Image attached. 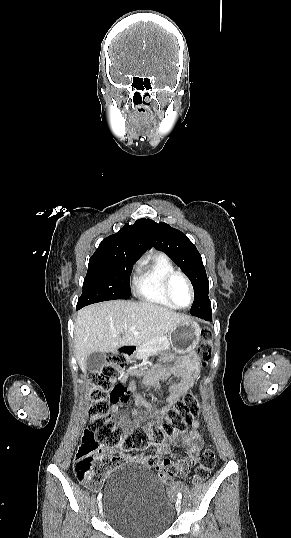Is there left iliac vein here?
Segmentation results:
<instances>
[{"instance_id": "1", "label": "left iliac vein", "mask_w": 291, "mask_h": 538, "mask_svg": "<svg viewBox=\"0 0 291 538\" xmlns=\"http://www.w3.org/2000/svg\"><path fill=\"white\" fill-rule=\"evenodd\" d=\"M176 510H177V512H180V510H181V500H177V502H176Z\"/></svg>"}]
</instances>
